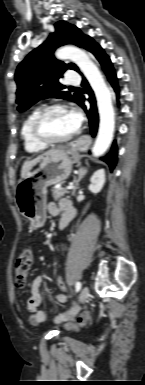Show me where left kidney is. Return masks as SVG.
Here are the masks:
<instances>
[{
	"label": "left kidney",
	"mask_w": 145,
	"mask_h": 385,
	"mask_svg": "<svg viewBox=\"0 0 145 385\" xmlns=\"http://www.w3.org/2000/svg\"><path fill=\"white\" fill-rule=\"evenodd\" d=\"M91 184L89 185V190L92 193H99L105 183V170L99 169L90 178Z\"/></svg>",
	"instance_id": "left-kidney-1"
}]
</instances>
